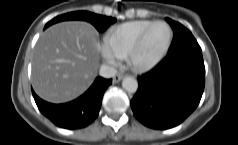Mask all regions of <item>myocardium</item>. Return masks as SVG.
<instances>
[{"instance_id":"f54148a6","label":"myocardium","mask_w":238,"mask_h":145,"mask_svg":"<svg viewBox=\"0 0 238 145\" xmlns=\"http://www.w3.org/2000/svg\"><path fill=\"white\" fill-rule=\"evenodd\" d=\"M157 25H163L168 30V38H167V41H166L165 45L160 50V52L154 58H152L151 60L146 61V62H138L136 60L137 55L142 50L150 31ZM172 37H173V33H172V29L169 26V24H167L164 21H155V22H153L151 25H149L142 32V34L139 36V38L137 39L135 44L128 51V53L125 57L128 66L130 68H132L133 70L138 71V72H145V71H149V70L153 69L155 66H157L161 62V60L164 58V56L168 52V50L170 48V45H171V42H172Z\"/></svg>"}]
</instances>
